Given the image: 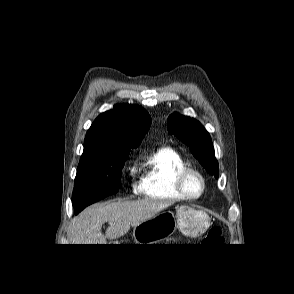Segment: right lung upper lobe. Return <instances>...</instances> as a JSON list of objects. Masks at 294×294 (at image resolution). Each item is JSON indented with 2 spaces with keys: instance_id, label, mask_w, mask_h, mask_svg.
I'll return each instance as SVG.
<instances>
[{
  "instance_id": "1",
  "label": "right lung upper lobe",
  "mask_w": 294,
  "mask_h": 294,
  "mask_svg": "<svg viewBox=\"0 0 294 294\" xmlns=\"http://www.w3.org/2000/svg\"><path fill=\"white\" fill-rule=\"evenodd\" d=\"M150 124V115L138 105H115L93 122L85 137L84 151H130L139 145Z\"/></svg>"
}]
</instances>
